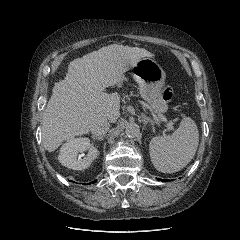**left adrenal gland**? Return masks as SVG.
I'll use <instances>...</instances> for the list:
<instances>
[{
	"instance_id": "left-adrenal-gland-1",
	"label": "left adrenal gland",
	"mask_w": 240,
	"mask_h": 240,
	"mask_svg": "<svg viewBox=\"0 0 240 240\" xmlns=\"http://www.w3.org/2000/svg\"><path fill=\"white\" fill-rule=\"evenodd\" d=\"M143 124L146 126L147 123H151L153 125V121L147 117L144 113L141 114Z\"/></svg>"
}]
</instances>
